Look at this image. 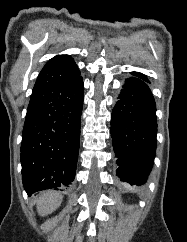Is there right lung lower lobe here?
<instances>
[{"mask_svg":"<svg viewBox=\"0 0 187 242\" xmlns=\"http://www.w3.org/2000/svg\"><path fill=\"white\" fill-rule=\"evenodd\" d=\"M83 93L80 73L32 92L21 143L22 180L29 196L74 180Z\"/></svg>","mask_w":187,"mask_h":242,"instance_id":"1","label":"right lung lower lobe"}]
</instances>
